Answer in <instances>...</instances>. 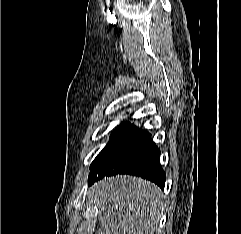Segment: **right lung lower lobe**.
Returning a JSON list of instances; mask_svg holds the SVG:
<instances>
[{
    "instance_id": "98d812e1",
    "label": "right lung lower lobe",
    "mask_w": 241,
    "mask_h": 234,
    "mask_svg": "<svg viewBox=\"0 0 241 234\" xmlns=\"http://www.w3.org/2000/svg\"><path fill=\"white\" fill-rule=\"evenodd\" d=\"M159 158L160 150L147 131L136 128L130 122L123 123L92 162L89 184L105 176L130 174L164 188L166 176Z\"/></svg>"
}]
</instances>
